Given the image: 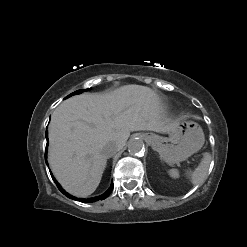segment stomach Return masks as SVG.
I'll return each mask as SVG.
<instances>
[{
	"label": "stomach",
	"mask_w": 247,
	"mask_h": 247,
	"mask_svg": "<svg viewBox=\"0 0 247 247\" xmlns=\"http://www.w3.org/2000/svg\"><path fill=\"white\" fill-rule=\"evenodd\" d=\"M160 158L168 164L186 160L201 149L205 137L200 125L194 121L179 120L169 132V137L146 135Z\"/></svg>",
	"instance_id": "stomach-1"
}]
</instances>
